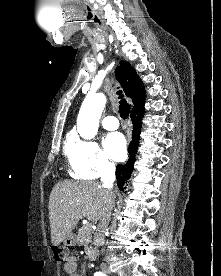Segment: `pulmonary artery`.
I'll return each instance as SVG.
<instances>
[{
    "label": "pulmonary artery",
    "mask_w": 221,
    "mask_h": 276,
    "mask_svg": "<svg viewBox=\"0 0 221 276\" xmlns=\"http://www.w3.org/2000/svg\"><path fill=\"white\" fill-rule=\"evenodd\" d=\"M102 126L107 130H115L119 127V122L114 116H106L102 120Z\"/></svg>",
    "instance_id": "e3ab8cb5"
}]
</instances>
